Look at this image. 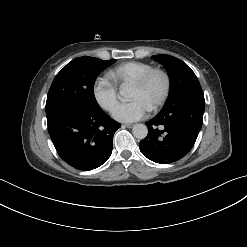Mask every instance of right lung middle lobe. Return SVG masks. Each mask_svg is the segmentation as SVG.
I'll return each mask as SVG.
<instances>
[{"mask_svg":"<svg viewBox=\"0 0 247 247\" xmlns=\"http://www.w3.org/2000/svg\"><path fill=\"white\" fill-rule=\"evenodd\" d=\"M116 60L104 61L93 57L72 60L54 78L46 101V113L61 106H77L99 110L94 83L97 76Z\"/></svg>","mask_w":247,"mask_h":247,"instance_id":"right-lung-middle-lobe-1","label":"right lung middle lobe"}]
</instances>
